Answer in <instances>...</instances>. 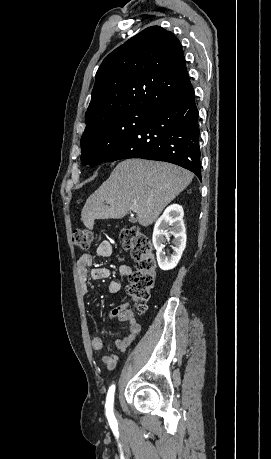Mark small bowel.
Instances as JSON below:
<instances>
[{
  "label": "small bowel",
  "instance_id": "1",
  "mask_svg": "<svg viewBox=\"0 0 271 459\" xmlns=\"http://www.w3.org/2000/svg\"><path fill=\"white\" fill-rule=\"evenodd\" d=\"M111 254V243L107 240L101 241L96 248V255L101 258H107L110 257ZM77 272L81 283L82 293L85 295L88 293V279L99 280L108 278L110 276V271L107 268H99L93 266V257L90 254H83L78 259ZM131 273L132 270L128 265H122L119 268V274L122 277H128L131 275ZM121 287V281L119 279H114L109 284L108 291L110 294H116L120 291ZM112 318H118L120 321L126 322L128 324L126 334L122 338L117 339L115 342L117 349L121 352H125L140 332L141 326L133 316L125 313V309L122 306L114 308L109 313V319ZM91 347L95 351H100L103 348L102 338H92ZM101 360L106 365L109 371H113L119 363V357L113 353H107L102 355Z\"/></svg>",
  "mask_w": 271,
  "mask_h": 459
}]
</instances>
